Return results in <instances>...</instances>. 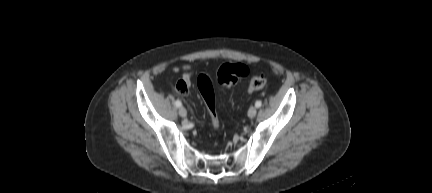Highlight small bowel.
<instances>
[{"label":"small bowel","mask_w":432,"mask_h":193,"mask_svg":"<svg viewBox=\"0 0 432 193\" xmlns=\"http://www.w3.org/2000/svg\"><path fill=\"white\" fill-rule=\"evenodd\" d=\"M184 74L182 76V79L178 81L177 83V90L181 94H187L189 86L191 84L192 79V67L191 66H184Z\"/></svg>","instance_id":"c3829d8e"}]
</instances>
